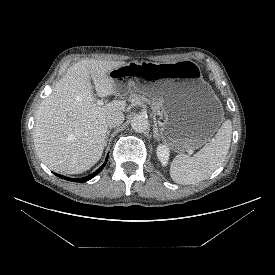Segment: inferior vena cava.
I'll return each mask as SVG.
<instances>
[{
	"instance_id": "obj_1",
	"label": "inferior vena cava",
	"mask_w": 275,
	"mask_h": 275,
	"mask_svg": "<svg viewBox=\"0 0 275 275\" xmlns=\"http://www.w3.org/2000/svg\"><path fill=\"white\" fill-rule=\"evenodd\" d=\"M124 121V114L122 112H113L106 118V125L110 128L121 125Z\"/></svg>"
}]
</instances>
